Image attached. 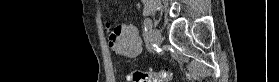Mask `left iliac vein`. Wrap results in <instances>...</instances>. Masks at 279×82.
I'll return each mask as SVG.
<instances>
[{
	"instance_id": "1",
	"label": "left iliac vein",
	"mask_w": 279,
	"mask_h": 82,
	"mask_svg": "<svg viewBox=\"0 0 279 82\" xmlns=\"http://www.w3.org/2000/svg\"><path fill=\"white\" fill-rule=\"evenodd\" d=\"M152 42L157 46L161 45L162 36H161V33L157 29L152 30Z\"/></svg>"
}]
</instances>
